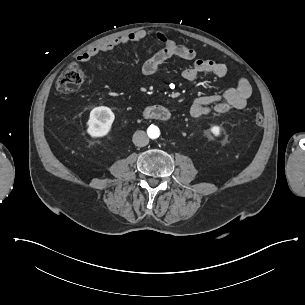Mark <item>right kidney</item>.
<instances>
[{
    "label": "right kidney",
    "mask_w": 305,
    "mask_h": 305,
    "mask_svg": "<svg viewBox=\"0 0 305 305\" xmlns=\"http://www.w3.org/2000/svg\"><path fill=\"white\" fill-rule=\"evenodd\" d=\"M114 120L115 114L110 108L104 106L95 107L91 110L85 123V133L91 139H99L110 131Z\"/></svg>",
    "instance_id": "obj_1"
}]
</instances>
